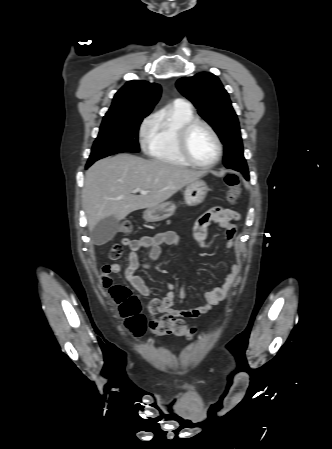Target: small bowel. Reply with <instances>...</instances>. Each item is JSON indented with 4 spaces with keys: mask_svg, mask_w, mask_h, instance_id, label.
I'll return each instance as SVG.
<instances>
[{
    "mask_svg": "<svg viewBox=\"0 0 332 449\" xmlns=\"http://www.w3.org/2000/svg\"><path fill=\"white\" fill-rule=\"evenodd\" d=\"M239 213L224 207H214L201 214L194 225V239L201 248H206L208 228L211 224H217L223 229L226 238V248L230 251L235 244L237 233L236 221L239 219ZM122 243L130 250L128 255V264L124 271L126 280L141 295L148 296L150 289L144 280L136 274L140 267L138 252L146 250L148 259L143 264L144 268H150L160 257L163 246H177L180 244V238L174 232H162L154 236H146L141 239H123ZM186 270V269H184ZM240 266L237 263L231 264L225 273L222 284L207 290L203 295V301L196 307L190 309L173 308L175 298V284L166 282L167 292L163 298L152 299L145 307L146 312L155 316L158 314H169L173 317H184L186 319H196L207 314L215 305L221 302L229 293L235 283L239 273ZM120 271V265L117 263L105 264L102 267L101 281L104 286L112 284L111 275ZM180 300L185 298V291L182 286L179 293Z\"/></svg>",
    "mask_w": 332,
    "mask_h": 449,
    "instance_id": "small-bowel-1",
    "label": "small bowel"
}]
</instances>
